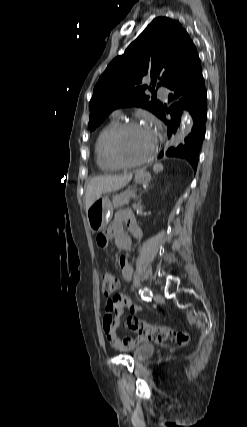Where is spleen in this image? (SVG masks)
Listing matches in <instances>:
<instances>
[{
    "instance_id": "1",
    "label": "spleen",
    "mask_w": 247,
    "mask_h": 427,
    "mask_svg": "<svg viewBox=\"0 0 247 427\" xmlns=\"http://www.w3.org/2000/svg\"><path fill=\"white\" fill-rule=\"evenodd\" d=\"M159 167H162V166H161V165H159V164H156V165L154 166V169L159 168Z\"/></svg>"
}]
</instances>
